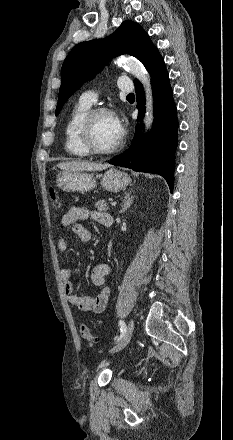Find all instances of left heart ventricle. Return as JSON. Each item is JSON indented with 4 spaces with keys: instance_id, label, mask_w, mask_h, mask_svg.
<instances>
[{
    "instance_id": "b2bd125f",
    "label": "left heart ventricle",
    "mask_w": 233,
    "mask_h": 440,
    "mask_svg": "<svg viewBox=\"0 0 233 440\" xmlns=\"http://www.w3.org/2000/svg\"><path fill=\"white\" fill-rule=\"evenodd\" d=\"M121 130L116 126L114 116L103 114L98 116L92 126V139L101 149L111 148L116 144Z\"/></svg>"
}]
</instances>
